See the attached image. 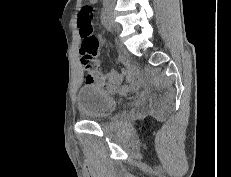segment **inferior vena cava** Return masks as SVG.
<instances>
[{
    "instance_id": "602c4592",
    "label": "inferior vena cava",
    "mask_w": 231,
    "mask_h": 177,
    "mask_svg": "<svg viewBox=\"0 0 231 177\" xmlns=\"http://www.w3.org/2000/svg\"><path fill=\"white\" fill-rule=\"evenodd\" d=\"M106 2H114L115 0H104Z\"/></svg>"
}]
</instances>
